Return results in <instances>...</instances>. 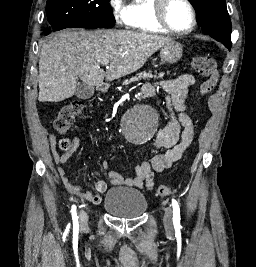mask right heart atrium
Listing matches in <instances>:
<instances>
[{
    "instance_id": "obj_1",
    "label": "right heart atrium",
    "mask_w": 256,
    "mask_h": 267,
    "mask_svg": "<svg viewBox=\"0 0 256 267\" xmlns=\"http://www.w3.org/2000/svg\"><path fill=\"white\" fill-rule=\"evenodd\" d=\"M115 22H121L125 28L131 27V15L128 12H121L115 14Z\"/></svg>"
}]
</instances>
